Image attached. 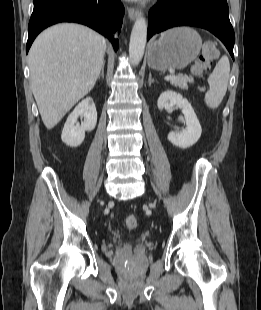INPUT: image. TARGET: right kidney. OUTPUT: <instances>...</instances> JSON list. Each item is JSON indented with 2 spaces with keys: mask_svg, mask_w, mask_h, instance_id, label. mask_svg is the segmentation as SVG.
Returning a JSON list of instances; mask_svg holds the SVG:
<instances>
[{
  "mask_svg": "<svg viewBox=\"0 0 261 310\" xmlns=\"http://www.w3.org/2000/svg\"><path fill=\"white\" fill-rule=\"evenodd\" d=\"M84 116L81 124L77 122L78 117ZM97 123V111L93 99L87 97L82 100L68 116L64 125L61 139L71 147L79 146L85 138L86 131H92Z\"/></svg>",
  "mask_w": 261,
  "mask_h": 310,
  "instance_id": "ca27d5eb",
  "label": "right kidney"
}]
</instances>
